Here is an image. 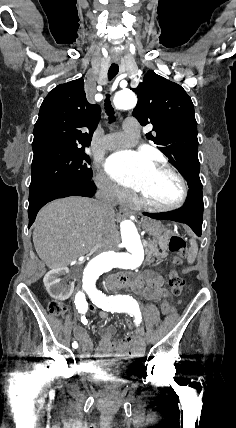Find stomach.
Masks as SVG:
<instances>
[{"label":"stomach","mask_w":236,"mask_h":428,"mask_svg":"<svg viewBox=\"0 0 236 428\" xmlns=\"http://www.w3.org/2000/svg\"><path fill=\"white\" fill-rule=\"evenodd\" d=\"M149 232H150L151 236H160V234L162 232V228H161L160 224H153V226H150Z\"/></svg>","instance_id":"stomach-1"}]
</instances>
